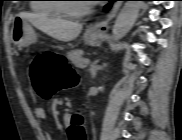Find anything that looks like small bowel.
<instances>
[{
	"mask_svg": "<svg viewBox=\"0 0 182 140\" xmlns=\"http://www.w3.org/2000/svg\"><path fill=\"white\" fill-rule=\"evenodd\" d=\"M34 115H35V118H36V120H37L38 122L44 121V120L46 119V116H47V115H46L45 109H44L43 107L39 106V105H37V106L35 107V109H34ZM69 119H70L69 116H65V117H64V122H65V124L68 125ZM44 138H45V140H53V139H52V136H51L50 133H48V132L45 133Z\"/></svg>",
	"mask_w": 182,
	"mask_h": 140,
	"instance_id": "small-bowel-1",
	"label": "small bowel"
}]
</instances>
